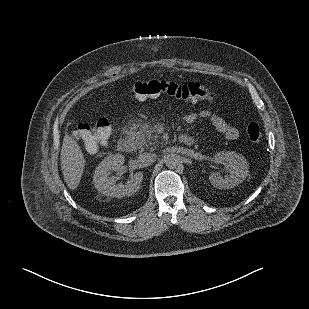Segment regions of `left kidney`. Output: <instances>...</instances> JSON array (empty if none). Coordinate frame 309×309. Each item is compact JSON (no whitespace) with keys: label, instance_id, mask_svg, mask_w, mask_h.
Here are the masks:
<instances>
[{"label":"left kidney","instance_id":"5707ae66","mask_svg":"<svg viewBox=\"0 0 309 309\" xmlns=\"http://www.w3.org/2000/svg\"><path fill=\"white\" fill-rule=\"evenodd\" d=\"M217 162L224 164L229 173L224 177L220 173H212L209 176L210 183L218 189L233 188L242 183L249 175V166L245 157L235 151H223L216 154Z\"/></svg>","mask_w":309,"mask_h":309}]
</instances>
